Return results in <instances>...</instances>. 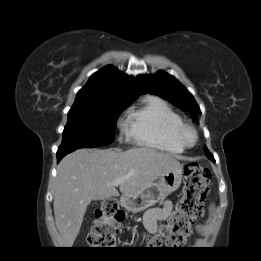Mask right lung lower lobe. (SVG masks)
<instances>
[{"instance_id": "98d812e1", "label": "right lung lower lobe", "mask_w": 261, "mask_h": 261, "mask_svg": "<svg viewBox=\"0 0 261 261\" xmlns=\"http://www.w3.org/2000/svg\"><path fill=\"white\" fill-rule=\"evenodd\" d=\"M70 152L65 151V152H57V161L59 162L66 154Z\"/></svg>"}]
</instances>
